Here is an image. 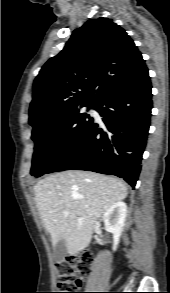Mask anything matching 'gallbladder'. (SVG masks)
<instances>
[{
    "label": "gallbladder",
    "instance_id": "obj_1",
    "mask_svg": "<svg viewBox=\"0 0 170 293\" xmlns=\"http://www.w3.org/2000/svg\"><path fill=\"white\" fill-rule=\"evenodd\" d=\"M67 254V248L63 239L59 240L53 247V257L56 262H62Z\"/></svg>",
    "mask_w": 170,
    "mask_h": 293
}]
</instances>
